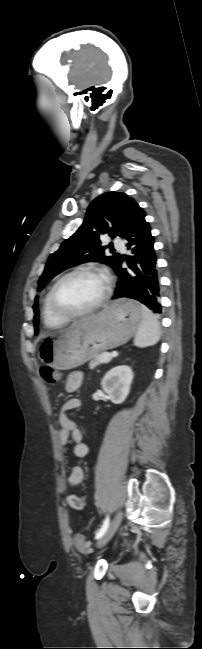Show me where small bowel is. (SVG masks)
Instances as JSON below:
<instances>
[{"label":"small bowel","mask_w":202,"mask_h":649,"mask_svg":"<svg viewBox=\"0 0 202 649\" xmlns=\"http://www.w3.org/2000/svg\"><path fill=\"white\" fill-rule=\"evenodd\" d=\"M84 374L81 371H72L66 380L65 387L68 391H74L79 388L83 382ZM81 402L79 399L72 398L67 400L62 408L61 415L59 417L60 430L58 434V442L61 446V461L65 460L64 447L72 442L74 444L73 453L76 457H84L88 453V446L82 441V433L76 427L75 422L70 417V414L79 409ZM84 478V471L80 466H73L70 469L69 476L67 479V485L70 487H77L81 484ZM67 503L70 507L76 510H81L85 506V500L76 495H69L67 497Z\"/></svg>","instance_id":"small-bowel-1"}]
</instances>
